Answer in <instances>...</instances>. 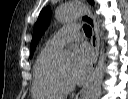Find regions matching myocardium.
<instances>
[{"instance_id":"obj_1","label":"myocardium","mask_w":128,"mask_h":99,"mask_svg":"<svg viewBox=\"0 0 128 99\" xmlns=\"http://www.w3.org/2000/svg\"><path fill=\"white\" fill-rule=\"evenodd\" d=\"M57 74H58V79L59 82L61 84V86L66 90V91H70L74 88V83L72 82V80H70L62 71L61 69L58 67L57 69Z\"/></svg>"}]
</instances>
